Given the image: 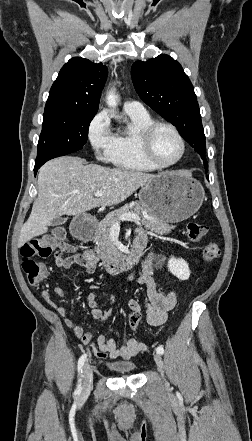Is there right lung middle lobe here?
Masks as SVG:
<instances>
[{
    "instance_id": "right-lung-middle-lobe-1",
    "label": "right lung middle lobe",
    "mask_w": 252,
    "mask_h": 441,
    "mask_svg": "<svg viewBox=\"0 0 252 441\" xmlns=\"http://www.w3.org/2000/svg\"><path fill=\"white\" fill-rule=\"evenodd\" d=\"M96 113L45 111L35 164L70 154L87 142L88 127Z\"/></svg>"
}]
</instances>
